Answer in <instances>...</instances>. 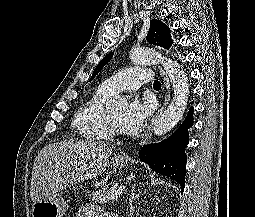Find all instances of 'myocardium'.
I'll return each instance as SVG.
<instances>
[{"mask_svg":"<svg viewBox=\"0 0 255 217\" xmlns=\"http://www.w3.org/2000/svg\"><path fill=\"white\" fill-rule=\"evenodd\" d=\"M107 120H108V128H109L110 136L119 135L121 133L120 129L117 127V125L115 124V122L113 121L109 113L107 115Z\"/></svg>","mask_w":255,"mask_h":217,"instance_id":"obj_1","label":"myocardium"}]
</instances>
